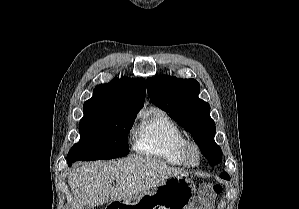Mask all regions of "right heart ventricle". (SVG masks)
<instances>
[{"label":"right heart ventricle","mask_w":299,"mask_h":209,"mask_svg":"<svg viewBox=\"0 0 299 209\" xmlns=\"http://www.w3.org/2000/svg\"><path fill=\"white\" fill-rule=\"evenodd\" d=\"M188 141L180 126L164 111L142 118L136 131L135 150L175 166H185L181 151Z\"/></svg>","instance_id":"obj_1"}]
</instances>
